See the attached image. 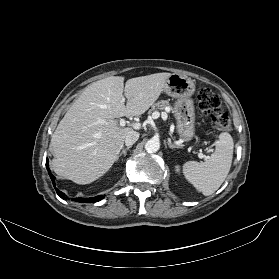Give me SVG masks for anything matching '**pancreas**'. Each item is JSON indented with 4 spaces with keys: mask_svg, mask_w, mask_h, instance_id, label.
Instances as JSON below:
<instances>
[{
    "mask_svg": "<svg viewBox=\"0 0 279 279\" xmlns=\"http://www.w3.org/2000/svg\"><path fill=\"white\" fill-rule=\"evenodd\" d=\"M167 107L170 108V105H169V102L166 101V100H161V101H158L157 103H155L153 106H152V109L149 111V113H152L156 110H165Z\"/></svg>",
    "mask_w": 279,
    "mask_h": 279,
    "instance_id": "pancreas-1",
    "label": "pancreas"
}]
</instances>
